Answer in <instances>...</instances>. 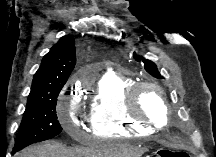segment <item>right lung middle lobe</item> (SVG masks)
Masks as SVG:
<instances>
[{
  "mask_svg": "<svg viewBox=\"0 0 216 157\" xmlns=\"http://www.w3.org/2000/svg\"><path fill=\"white\" fill-rule=\"evenodd\" d=\"M59 92L27 101L13 151L53 138L62 131L56 115Z\"/></svg>",
  "mask_w": 216,
  "mask_h": 157,
  "instance_id": "1",
  "label": "right lung middle lobe"
}]
</instances>
